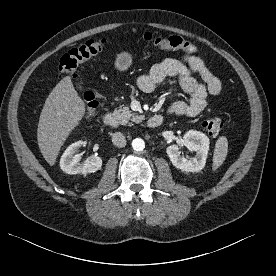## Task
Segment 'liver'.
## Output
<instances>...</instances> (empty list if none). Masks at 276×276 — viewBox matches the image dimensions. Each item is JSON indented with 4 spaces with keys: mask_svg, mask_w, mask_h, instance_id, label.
<instances>
[{
    "mask_svg": "<svg viewBox=\"0 0 276 276\" xmlns=\"http://www.w3.org/2000/svg\"><path fill=\"white\" fill-rule=\"evenodd\" d=\"M85 114V103L70 76L64 77L47 97L40 114L37 140L46 162L53 166L71 131Z\"/></svg>",
    "mask_w": 276,
    "mask_h": 276,
    "instance_id": "obj_1",
    "label": "liver"
}]
</instances>
